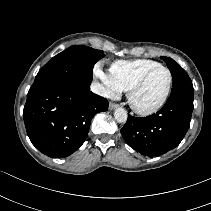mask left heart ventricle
Wrapping results in <instances>:
<instances>
[{"mask_svg":"<svg viewBox=\"0 0 211 211\" xmlns=\"http://www.w3.org/2000/svg\"><path fill=\"white\" fill-rule=\"evenodd\" d=\"M168 79V73L163 69L151 73L135 94V104L140 108H150L157 104L166 91Z\"/></svg>","mask_w":211,"mask_h":211,"instance_id":"obj_1","label":"left heart ventricle"}]
</instances>
